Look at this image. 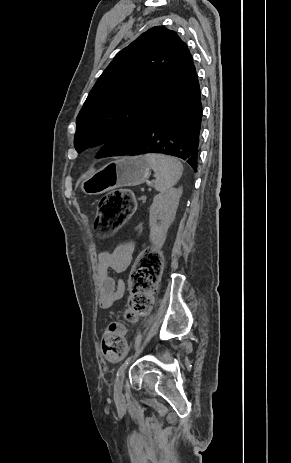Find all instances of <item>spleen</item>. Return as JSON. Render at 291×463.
<instances>
[{"label":"spleen","instance_id":"3e777b00","mask_svg":"<svg viewBox=\"0 0 291 463\" xmlns=\"http://www.w3.org/2000/svg\"><path fill=\"white\" fill-rule=\"evenodd\" d=\"M145 159L155 172V188L157 191H167L182 176L183 166L180 161L173 157L162 154H146Z\"/></svg>","mask_w":291,"mask_h":463}]
</instances>
